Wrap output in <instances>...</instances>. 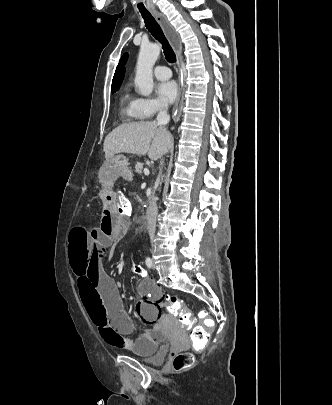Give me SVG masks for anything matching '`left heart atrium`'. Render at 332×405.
Returning <instances> with one entry per match:
<instances>
[{
  "instance_id": "39dd6f15",
  "label": "left heart atrium",
  "mask_w": 332,
  "mask_h": 405,
  "mask_svg": "<svg viewBox=\"0 0 332 405\" xmlns=\"http://www.w3.org/2000/svg\"><path fill=\"white\" fill-rule=\"evenodd\" d=\"M157 93L165 103H173L178 96L179 90L176 82L165 81L158 84Z\"/></svg>"
}]
</instances>
